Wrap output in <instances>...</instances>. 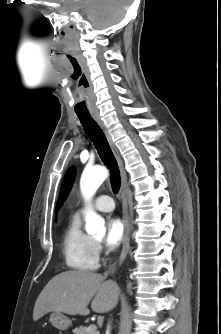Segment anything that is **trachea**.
<instances>
[{
	"label": "trachea",
	"instance_id": "3493384b",
	"mask_svg": "<svg viewBox=\"0 0 221 334\" xmlns=\"http://www.w3.org/2000/svg\"><path fill=\"white\" fill-rule=\"evenodd\" d=\"M77 116L87 136L90 138L95 148L97 149L100 158L110 169V182L113 191L115 193L118 192L121 184L118 164L102 129L90 114Z\"/></svg>",
	"mask_w": 221,
	"mask_h": 334
}]
</instances>
